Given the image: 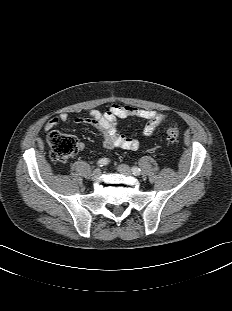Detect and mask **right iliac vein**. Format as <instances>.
Here are the masks:
<instances>
[{
  "label": "right iliac vein",
  "mask_w": 232,
  "mask_h": 311,
  "mask_svg": "<svg viewBox=\"0 0 232 311\" xmlns=\"http://www.w3.org/2000/svg\"><path fill=\"white\" fill-rule=\"evenodd\" d=\"M100 175H101V170H100V169H95V170L93 171L92 175H91V179H92L93 181H96V180H98V178L100 177Z\"/></svg>",
  "instance_id": "63e3f726"
}]
</instances>
